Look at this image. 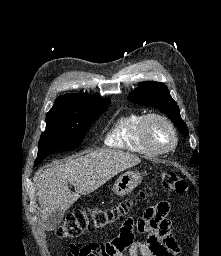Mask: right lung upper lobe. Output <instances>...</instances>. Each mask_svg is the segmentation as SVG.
I'll return each mask as SVG.
<instances>
[{
    "label": "right lung upper lobe",
    "instance_id": "right-lung-upper-lobe-1",
    "mask_svg": "<svg viewBox=\"0 0 221 256\" xmlns=\"http://www.w3.org/2000/svg\"><path fill=\"white\" fill-rule=\"evenodd\" d=\"M98 99L103 98L76 93L61 95L56 99L54 106L48 114L75 112L80 106Z\"/></svg>",
    "mask_w": 221,
    "mask_h": 256
}]
</instances>
